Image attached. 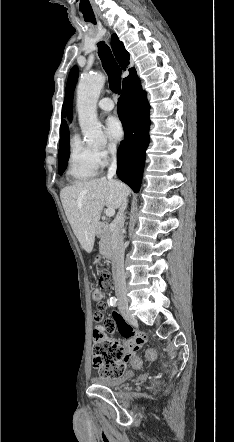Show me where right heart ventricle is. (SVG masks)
Masks as SVG:
<instances>
[{"label":"right heart ventricle","instance_id":"1","mask_svg":"<svg viewBox=\"0 0 234 442\" xmlns=\"http://www.w3.org/2000/svg\"><path fill=\"white\" fill-rule=\"evenodd\" d=\"M99 168L96 150L85 145L78 134L73 135L67 160L68 178L74 182L87 181L97 176Z\"/></svg>","mask_w":234,"mask_h":442}]
</instances>
